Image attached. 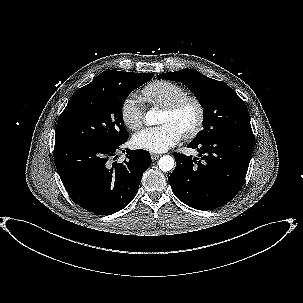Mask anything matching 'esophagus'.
Here are the masks:
<instances>
[{"label": "esophagus", "mask_w": 303, "mask_h": 303, "mask_svg": "<svg viewBox=\"0 0 303 303\" xmlns=\"http://www.w3.org/2000/svg\"><path fill=\"white\" fill-rule=\"evenodd\" d=\"M160 156H161L160 154H155V153L151 154V157H152L153 161L157 160Z\"/></svg>", "instance_id": "34e87169"}]
</instances>
